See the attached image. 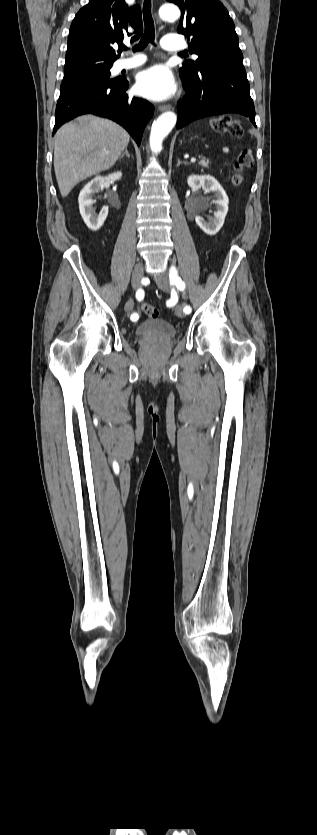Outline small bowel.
I'll use <instances>...</instances> for the list:
<instances>
[{"instance_id":"obj_1","label":"small bowel","mask_w":317,"mask_h":835,"mask_svg":"<svg viewBox=\"0 0 317 835\" xmlns=\"http://www.w3.org/2000/svg\"><path fill=\"white\" fill-rule=\"evenodd\" d=\"M131 306H132V309H133V307H134V301H132L131 303L129 302V303L127 304V307H128V308H130ZM132 309H131V310H132ZM131 310H130V311H131ZM134 313H136V312H134ZM136 314H137V313H136ZM137 315H138V314H137Z\"/></svg>"}]
</instances>
